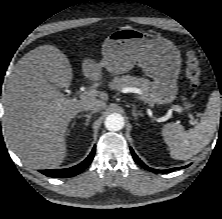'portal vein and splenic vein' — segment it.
Here are the masks:
<instances>
[{"label": "portal vein and splenic vein", "mask_w": 222, "mask_h": 219, "mask_svg": "<svg viewBox=\"0 0 222 219\" xmlns=\"http://www.w3.org/2000/svg\"><path fill=\"white\" fill-rule=\"evenodd\" d=\"M125 92H131V93H138L140 94L141 93V90L136 88V87H129V88H126L125 89ZM89 96H96V91H84L83 93H81L80 95V98H86V97H89ZM169 107L178 112V113H182V112H185L188 117L190 118V122L192 124H195L197 123V119L194 118L193 114H191L190 112L184 110L182 107L178 106V105H169Z\"/></svg>", "instance_id": "1"}]
</instances>
